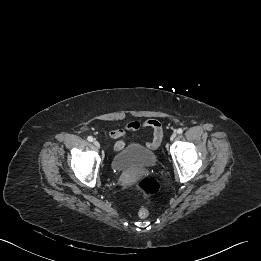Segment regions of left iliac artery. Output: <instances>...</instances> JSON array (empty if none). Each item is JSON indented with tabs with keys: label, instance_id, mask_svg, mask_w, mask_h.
I'll return each instance as SVG.
<instances>
[{
	"label": "left iliac artery",
	"instance_id": "left-iliac-artery-1",
	"mask_svg": "<svg viewBox=\"0 0 261 261\" xmlns=\"http://www.w3.org/2000/svg\"><path fill=\"white\" fill-rule=\"evenodd\" d=\"M183 132V129L182 128H179L178 130H177V133L178 134H181Z\"/></svg>",
	"mask_w": 261,
	"mask_h": 261
}]
</instances>
